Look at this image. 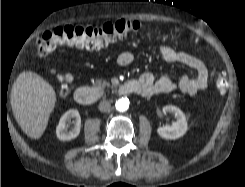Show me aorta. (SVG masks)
<instances>
[{
	"instance_id": "aorta-1",
	"label": "aorta",
	"mask_w": 245,
	"mask_h": 187,
	"mask_svg": "<svg viewBox=\"0 0 245 187\" xmlns=\"http://www.w3.org/2000/svg\"><path fill=\"white\" fill-rule=\"evenodd\" d=\"M115 107L118 111L124 112L129 108V99L128 98H120L116 101Z\"/></svg>"
}]
</instances>
